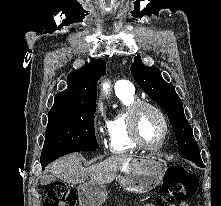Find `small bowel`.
<instances>
[{"label": "small bowel", "mask_w": 221, "mask_h": 206, "mask_svg": "<svg viewBox=\"0 0 221 206\" xmlns=\"http://www.w3.org/2000/svg\"><path fill=\"white\" fill-rule=\"evenodd\" d=\"M145 206H155V205H154V204H148V205H145ZM172 206H176V205H173V204H172ZM178 206H187V204L181 203V204H179Z\"/></svg>", "instance_id": "1"}]
</instances>
